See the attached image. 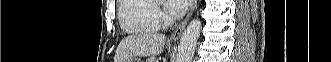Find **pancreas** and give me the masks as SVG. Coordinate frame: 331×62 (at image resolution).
<instances>
[{
    "mask_svg": "<svg viewBox=\"0 0 331 62\" xmlns=\"http://www.w3.org/2000/svg\"><path fill=\"white\" fill-rule=\"evenodd\" d=\"M146 62H157V60L155 58H149Z\"/></svg>",
    "mask_w": 331,
    "mask_h": 62,
    "instance_id": "obj_1",
    "label": "pancreas"
}]
</instances>
